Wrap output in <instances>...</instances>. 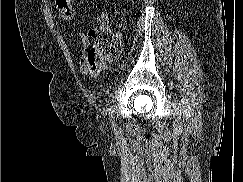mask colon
Wrapping results in <instances>:
<instances>
[{
    "instance_id": "1",
    "label": "colon",
    "mask_w": 243,
    "mask_h": 182,
    "mask_svg": "<svg viewBox=\"0 0 243 182\" xmlns=\"http://www.w3.org/2000/svg\"><path fill=\"white\" fill-rule=\"evenodd\" d=\"M56 10L64 20H70L74 16V0H56ZM103 20V17H101ZM93 44L90 54L97 58L112 60L119 53V43L111 29L102 24L90 32Z\"/></svg>"
}]
</instances>
